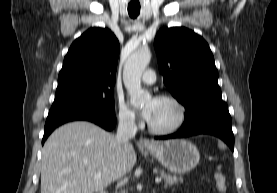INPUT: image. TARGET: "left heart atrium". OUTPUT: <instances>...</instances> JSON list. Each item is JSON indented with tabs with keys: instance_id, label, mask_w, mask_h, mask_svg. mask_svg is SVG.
Here are the masks:
<instances>
[{
	"instance_id": "1",
	"label": "left heart atrium",
	"mask_w": 277,
	"mask_h": 193,
	"mask_svg": "<svg viewBox=\"0 0 277 193\" xmlns=\"http://www.w3.org/2000/svg\"><path fill=\"white\" fill-rule=\"evenodd\" d=\"M157 99H152L143 109L142 116L149 121L152 117L154 106Z\"/></svg>"
}]
</instances>
